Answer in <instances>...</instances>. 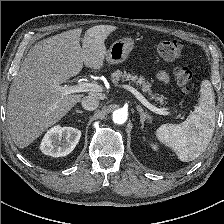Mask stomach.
I'll return each instance as SVG.
<instances>
[{
    "instance_id": "0dacf381",
    "label": "stomach",
    "mask_w": 224,
    "mask_h": 224,
    "mask_svg": "<svg viewBox=\"0 0 224 224\" xmlns=\"http://www.w3.org/2000/svg\"><path fill=\"white\" fill-rule=\"evenodd\" d=\"M135 48V42L131 37H124L116 40L110 46L106 59L109 64H119L124 62L130 52Z\"/></svg>"
}]
</instances>
